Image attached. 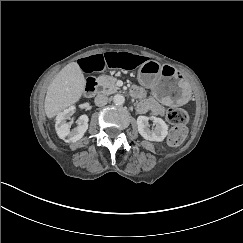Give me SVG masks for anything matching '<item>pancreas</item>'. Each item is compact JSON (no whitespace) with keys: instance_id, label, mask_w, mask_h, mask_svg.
<instances>
[{"instance_id":"cf45deb5","label":"pancreas","mask_w":243,"mask_h":243,"mask_svg":"<svg viewBox=\"0 0 243 243\" xmlns=\"http://www.w3.org/2000/svg\"><path fill=\"white\" fill-rule=\"evenodd\" d=\"M123 79H126V76H123ZM96 81L105 88V93H115L118 90V86L116 85L118 77L116 76L100 75L96 78Z\"/></svg>"}]
</instances>
